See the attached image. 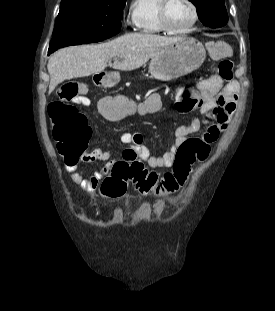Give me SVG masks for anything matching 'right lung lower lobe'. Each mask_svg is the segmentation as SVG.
<instances>
[{"label":"right lung lower lobe","mask_w":275,"mask_h":311,"mask_svg":"<svg viewBox=\"0 0 275 311\" xmlns=\"http://www.w3.org/2000/svg\"><path fill=\"white\" fill-rule=\"evenodd\" d=\"M120 28H121V25H120ZM120 28H119L118 31H120ZM114 33H117V32H113V33H111V34H106V36H104V38H109V37L113 36Z\"/></svg>","instance_id":"right-lung-lower-lobe-1"}]
</instances>
